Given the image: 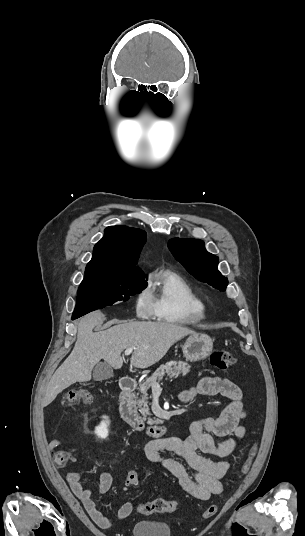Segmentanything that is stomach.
<instances>
[{
    "label": "stomach",
    "instance_id": "1",
    "mask_svg": "<svg viewBox=\"0 0 305 536\" xmlns=\"http://www.w3.org/2000/svg\"><path fill=\"white\" fill-rule=\"evenodd\" d=\"M212 350L213 340L207 334H192L183 346L184 358L192 360V362L205 360L212 354Z\"/></svg>",
    "mask_w": 305,
    "mask_h": 536
}]
</instances>
